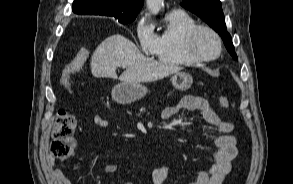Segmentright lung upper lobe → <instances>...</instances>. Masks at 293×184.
Masks as SVG:
<instances>
[{"label": "right lung upper lobe", "instance_id": "obj_1", "mask_svg": "<svg viewBox=\"0 0 293 184\" xmlns=\"http://www.w3.org/2000/svg\"><path fill=\"white\" fill-rule=\"evenodd\" d=\"M143 0H74L73 12L80 15L112 16L119 20L135 19Z\"/></svg>", "mask_w": 293, "mask_h": 184}]
</instances>
